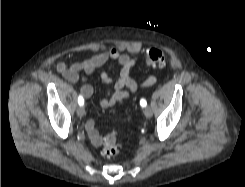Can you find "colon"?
<instances>
[{"label": "colon", "mask_w": 245, "mask_h": 187, "mask_svg": "<svg viewBox=\"0 0 245 187\" xmlns=\"http://www.w3.org/2000/svg\"><path fill=\"white\" fill-rule=\"evenodd\" d=\"M169 63L168 55L160 49L150 48L145 55V64L148 67H163ZM120 152L115 134H109L103 142V153L107 156H116Z\"/></svg>", "instance_id": "5ec220e1"}]
</instances>
